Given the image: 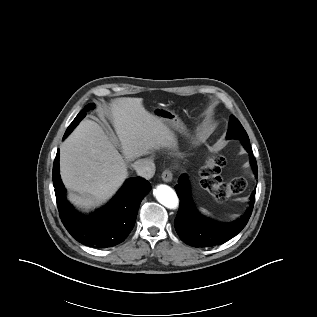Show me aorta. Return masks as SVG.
Instances as JSON below:
<instances>
[{
    "label": "aorta",
    "mask_w": 317,
    "mask_h": 317,
    "mask_svg": "<svg viewBox=\"0 0 317 317\" xmlns=\"http://www.w3.org/2000/svg\"><path fill=\"white\" fill-rule=\"evenodd\" d=\"M154 196L161 205L168 209H176L179 205L177 194L168 185H158L154 189Z\"/></svg>",
    "instance_id": "762f6f07"
}]
</instances>
